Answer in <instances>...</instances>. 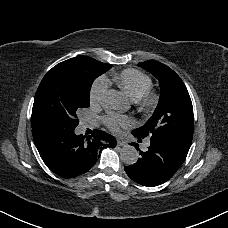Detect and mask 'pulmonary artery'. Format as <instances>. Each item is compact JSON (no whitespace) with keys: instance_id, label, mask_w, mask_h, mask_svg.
<instances>
[{"instance_id":"obj_1","label":"pulmonary artery","mask_w":228,"mask_h":228,"mask_svg":"<svg viewBox=\"0 0 228 228\" xmlns=\"http://www.w3.org/2000/svg\"><path fill=\"white\" fill-rule=\"evenodd\" d=\"M148 145H149V141L146 142V146H148Z\"/></svg>"}]
</instances>
